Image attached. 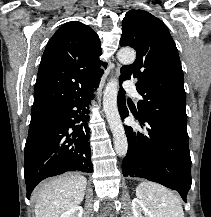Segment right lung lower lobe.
Listing matches in <instances>:
<instances>
[{
	"mask_svg": "<svg viewBox=\"0 0 211 217\" xmlns=\"http://www.w3.org/2000/svg\"><path fill=\"white\" fill-rule=\"evenodd\" d=\"M92 90L59 107L31 116L24 150L28 198L45 178L67 171L92 172L85 109L92 98Z\"/></svg>",
	"mask_w": 211,
	"mask_h": 217,
	"instance_id": "98d812e1",
	"label": "right lung lower lobe"
}]
</instances>
